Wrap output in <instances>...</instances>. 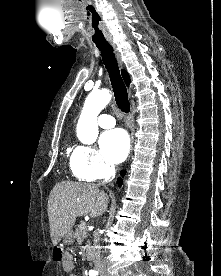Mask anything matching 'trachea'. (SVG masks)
I'll list each match as a JSON object with an SVG mask.
<instances>
[{
    "instance_id": "trachea-1",
    "label": "trachea",
    "mask_w": 221,
    "mask_h": 276,
    "mask_svg": "<svg viewBox=\"0 0 221 276\" xmlns=\"http://www.w3.org/2000/svg\"><path fill=\"white\" fill-rule=\"evenodd\" d=\"M100 33L101 32L99 31L96 32V34ZM95 44L101 52L103 62L109 73L116 104L122 112L128 113L130 111V103L128 100L127 89L120 75L117 60L113 53V48L107 41L98 43L95 42Z\"/></svg>"
}]
</instances>
